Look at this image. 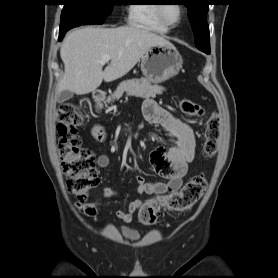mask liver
<instances>
[{
    "label": "liver",
    "instance_id": "liver-1",
    "mask_svg": "<svg viewBox=\"0 0 278 278\" xmlns=\"http://www.w3.org/2000/svg\"><path fill=\"white\" fill-rule=\"evenodd\" d=\"M171 44L164 37L135 26L118 28L85 27L68 34L60 48L65 73L57 94L64 90L78 95L95 91L104 80L126 75L155 45ZM110 55L103 71L101 59Z\"/></svg>",
    "mask_w": 278,
    "mask_h": 278
}]
</instances>
